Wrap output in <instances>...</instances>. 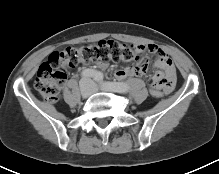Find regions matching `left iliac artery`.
I'll return each instance as SVG.
<instances>
[{
	"label": "left iliac artery",
	"instance_id": "obj_1",
	"mask_svg": "<svg viewBox=\"0 0 219 174\" xmlns=\"http://www.w3.org/2000/svg\"><path fill=\"white\" fill-rule=\"evenodd\" d=\"M94 79L103 87H108L119 93H127L129 87L126 83L123 82H109L103 80V74L101 72H96Z\"/></svg>",
	"mask_w": 219,
	"mask_h": 174
}]
</instances>
